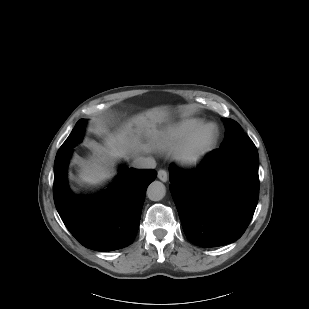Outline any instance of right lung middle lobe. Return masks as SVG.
Masks as SVG:
<instances>
[{"label": "right lung middle lobe", "instance_id": "dd1d6c3e", "mask_svg": "<svg viewBox=\"0 0 309 309\" xmlns=\"http://www.w3.org/2000/svg\"><path fill=\"white\" fill-rule=\"evenodd\" d=\"M85 124L86 120L84 119H81L76 123L73 131L58 150L55 160L71 151V149L82 140Z\"/></svg>", "mask_w": 309, "mask_h": 309}]
</instances>
